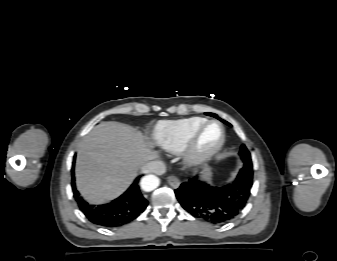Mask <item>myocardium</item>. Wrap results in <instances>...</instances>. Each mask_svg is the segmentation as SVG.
Instances as JSON below:
<instances>
[{"label": "myocardium", "mask_w": 337, "mask_h": 261, "mask_svg": "<svg viewBox=\"0 0 337 261\" xmlns=\"http://www.w3.org/2000/svg\"><path fill=\"white\" fill-rule=\"evenodd\" d=\"M210 125L218 126L220 130V139L214 147L207 151L198 149V140L202 132ZM226 140V133L223 125L216 120H207L201 124L190 136L184 150V160L189 166H202L212 160L223 148Z\"/></svg>", "instance_id": "1"}]
</instances>
